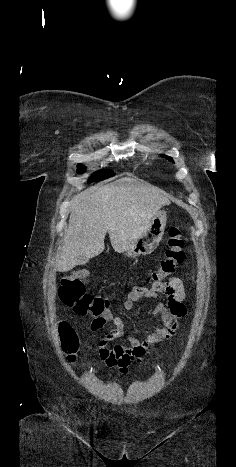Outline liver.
<instances>
[{"mask_svg":"<svg viewBox=\"0 0 236 467\" xmlns=\"http://www.w3.org/2000/svg\"><path fill=\"white\" fill-rule=\"evenodd\" d=\"M170 204L159 188L129 177L120 178L73 200L69 227L57 255L55 269L67 272L105 248L108 232L115 252L123 253L144 232L152 217Z\"/></svg>","mask_w":236,"mask_h":467,"instance_id":"liver-1","label":"liver"}]
</instances>
